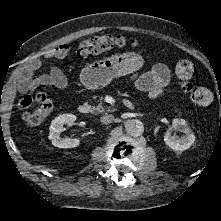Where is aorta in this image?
Masks as SVG:
<instances>
[{
  "label": "aorta",
  "mask_w": 221,
  "mask_h": 221,
  "mask_svg": "<svg viewBox=\"0 0 221 221\" xmlns=\"http://www.w3.org/2000/svg\"><path fill=\"white\" fill-rule=\"evenodd\" d=\"M125 131L128 135L137 137L144 132V125L142 121L138 119H130L125 123Z\"/></svg>",
  "instance_id": "aorta-1"
}]
</instances>
